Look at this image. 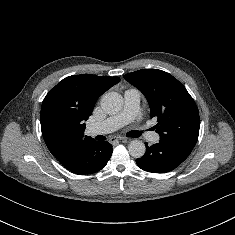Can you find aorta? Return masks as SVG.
<instances>
[{"label":"aorta","instance_id":"aorta-1","mask_svg":"<svg viewBox=\"0 0 235 235\" xmlns=\"http://www.w3.org/2000/svg\"><path fill=\"white\" fill-rule=\"evenodd\" d=\"M101 108L107 114L114 115L123 107L122 97L116 92H108L101 98ZM128 151L134 158H141L145 152V144L141 140H132L128 145Z\"/></svg>","mask_w":235,"mask_h":235}]
</instances>
